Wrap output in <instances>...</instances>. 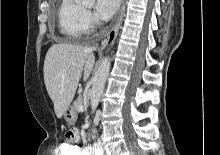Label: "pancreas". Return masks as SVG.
Wrapping results in <instances>:
<instances>
[{
  "label": "pancreas",
  "instance_id": "pancreas-1",
  "mask_svg": "<svg viewBox=\"0 0 220 155\" xmlns=\"http://www.w3.org/2000/svg\"><path fill=\"white\" fill-rule=\"evenodd\" d=\"M83 104L82 96H79L73 104L74 112H79V106Z\"/></svg>",
  "mask_w": 220,
  "mask_h": 155
}]
</instances>
